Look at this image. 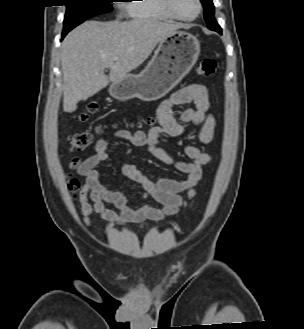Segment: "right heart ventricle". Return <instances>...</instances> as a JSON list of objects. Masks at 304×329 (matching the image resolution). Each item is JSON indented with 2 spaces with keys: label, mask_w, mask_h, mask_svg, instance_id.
<instances>
[{
  "label": "right heart ventricle",
  "mask_w": 304,
  "mask_h": 329,
  "mask_svg": "<svg viewBox=\"0 0 304 329\" xmlns=\"http://www.w3.org/2000/svg\"><path fill=\"white\" fill-rule=\"evenodd\" d=\"M129 2L126 8L133 19L153 21L172 19L164 8L162 0H130Z\"/></svg>",
  "instance_id": "1"
}]
</instances>
